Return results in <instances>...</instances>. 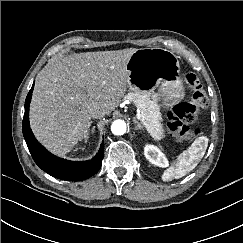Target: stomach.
Instances as JSON below:
<instances>
[{
    "label": "stomach",
    "mask_w": 243,
    "mask_h": 243,
    "mask_svg": "<svg viewBox=\"0 0 243 243\" xmlns=\"http://www.w3.org/2000/svg\"><path fill=\"white\" fill-rule=\"evenodd\" d=\"M126 68L131 91L150 93L159 87V96L166 107L184 97L179 61L173 52L163 48L137 49Z\"/></svg>",
    "instance_id": "0dacf381"
}]
</instances>
